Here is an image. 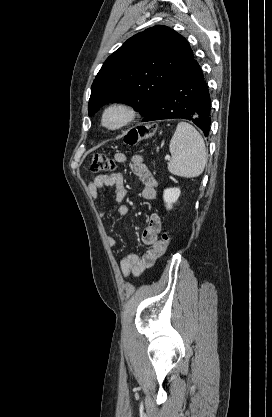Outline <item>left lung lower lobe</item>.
Returning a JSON list of instances; mask_svg holds the SVG:
<instances>
[{"label":"left lung lower lobe","instance_id":"1","mask_svg":"<svg viewBox=\"0 0 272 417\" xmlns=\"http://www.w3.org/2000/svg\"><path fill=\"white\" fill-rule=\"evenodd\" d=\"M211 98L208 85L199 64L193 58L176 75L157 100L143 122L181 118L192 121L209 135L211 125Z\"/></svg>","mask_w":272,"mask_h":417}]
</instances>
